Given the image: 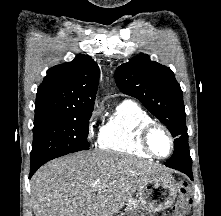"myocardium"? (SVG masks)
Masks as SVG:
<instances>
[{
    "label": "myocardium",
    "mask_w": 221,
    "mask_h": 216,
    "mask_svg": "<svg viewBox=\"0 0 221 216\" xmlns=\"http://www.w3.org/2000/svg\"><path fill=\"white\" fill-rule=\"evenodd\" d=\"M156 130H160L164 132L169 139L170 151L166 155L157 154L151 145V142H150L151 136ZM138 142L143 151L159 159H164V158L171 156L175 149L174 137L172 133L170 132V130L164 124L155 122V121L143 126L140 129Z\"/></svg>",
    "instance_id": "myocardium-1"
}]
</instances>
